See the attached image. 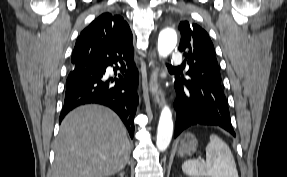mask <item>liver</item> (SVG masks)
<instances>
[{
  "instance_id": "obj_1",
  "label": "liver",
  "mask_w": 287,
  "mask_h": 177,
  "mask_svg": "<svg viewBox=\"0 0 287 177\" xmlns=\"http://www.w3.org/2000/svg\"><path fill=\"white\" fill-rule=\"evenodd\" d=\"M54 152L50 177H106L126 166L131 145L117 114L104 106L85 105L62 121Z\"/></svg>"
}]
</instances>
